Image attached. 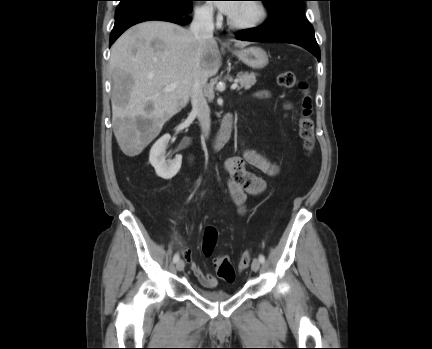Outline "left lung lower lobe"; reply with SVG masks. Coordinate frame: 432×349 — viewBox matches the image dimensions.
<instances>
[{"mask_svg": "<svg viewBox=\"0 0 432 349\" xmlns=\"http://www.w3.org/2000/svg\"><path fill=\"white\" fill-rule=\"evenodd\" d=\"M236 39L254 42H282L299 45L320 60L312 25L302 18H275L259 27L236 32Z\"/></svg>", "mask_w": 432, "mask_h": 349, "instance_id": "left-lung-lower-lobe-1", "label": "left lung lower lobe"}]
</instances>
